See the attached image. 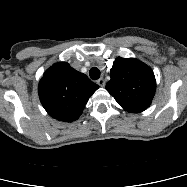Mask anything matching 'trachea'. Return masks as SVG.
<instances>
[{
  "mask_svg": "<svg viewBox=\"0 0 187 187\" xmlns=\"http://www.w3.org/2000/svg\"><path fill=\"white\" fill-rule=\"evenodd\" d=\"M90 78L93 80H97L100 78V70L96 67H93L89 71Z\"/></svg>",
  "mask_w": 187,
  "mask_h": 187,
  "instance_id": "1",
  "label": "trachea"
}]
</instances>
